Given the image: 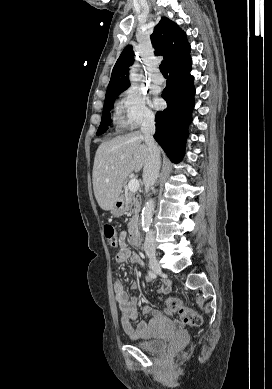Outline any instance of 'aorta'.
<instances>
[{"label":"aorta","mask_w":272,"mask_h":389,"mask_svg":"<svg viewBox=\"0 0 272 389\" xmlns=\"http://www.w3.org/2000/svg\"><path fill=\"white\" fill-rule=\"evenodd\" d=\"M130 80L132 82H136L138 80L135 66H132L130 69ZM153 212H154V200L149 199L145 203V205L142 209V214H141V226H142V230L144 232L149 231V228H150L151 223H152Z\"/></svg>","instance_id":"1"}]
</instances>
